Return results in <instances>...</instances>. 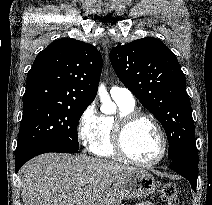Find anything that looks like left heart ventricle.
I'll list each match as a JSON object with an SVG mask.
<instances>
[{"label":"left heart ventricle","instance_id":"obj_1","mask_svg":"<svg viewBox=\"0 0 212 205\" xmlns=\"http://www.w3.org/2000/svg\"><path fill=\"white\" fill-rule=\"evenodd\" d=\"M125 148L130 156L140 161L156 158L160 152V139L153 124L140 118L134 121L126 131Z\"/></svg>","mask_w":212,"mask_h":205}]
</instances>
